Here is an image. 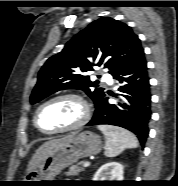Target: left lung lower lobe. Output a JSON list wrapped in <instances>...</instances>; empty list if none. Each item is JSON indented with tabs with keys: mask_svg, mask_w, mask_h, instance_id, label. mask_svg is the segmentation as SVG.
Returning <instances> with one entry per match:
<instances>
[{
	"mask_svg": "<svg viewBox=\"0 0 178 186\" xmlns=\"http://www.w3.org/2000/svg\"><path fill=\"white\" fill-rule=\"evenodd\" d=\"M113 77L120 83H126L119 89L126 93L123 95L126 103L119 106L110 104L108 94L111 95V92L107 91L87 125L108 124L123 127L133 132L143 146L148 137V123L151 118V94L145 57Z\"/></svg>",
	"mask_w": 178,
	"mask_h": 186,
	"instance_id": "0a47b994",
	"label": "left lung lower lobe"
}]
</instances>
